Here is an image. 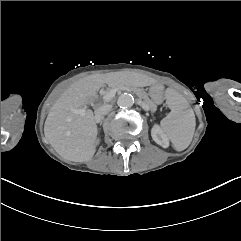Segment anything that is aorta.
Wrapping results in <instances>:
<instances>
[{"instance_id":"1","label":"aorta","mask_w":241,"mask_h":241,"mask_svg":"<svg viewBox=\"0 0 241 241\" xmlns=\"http://www.w3.org/2000/svg\"><path fill=\"white\" fill-rule=\"evenodd\" d=\"M117 104L120 108H130L134 104V98L131 94L124 93L119 96Z\"/></svg>"}]
</instances>
